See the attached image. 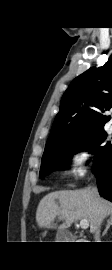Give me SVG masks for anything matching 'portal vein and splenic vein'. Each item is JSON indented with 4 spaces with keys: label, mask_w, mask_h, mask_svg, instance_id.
I'll return each mask as SVG.
<instances>
[{
    "label": "portal vein and splenic vein",
    "mask_w": 112,
    "mask_h": 270,
    "mask_svg": "<svg viewBox=\"0 0 112 270\" xmlns=\"http://www.w3.org/2000/svg\"><path fill=\"white\" fill-rule=\"evenodd\" d=\"M80 227L82 228V229H87L88 227H89V222L87 221V220H81L80 221Z\"/></svg>",
    "instance_id": "1"
}]
</instances>
